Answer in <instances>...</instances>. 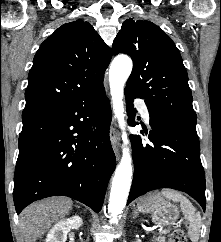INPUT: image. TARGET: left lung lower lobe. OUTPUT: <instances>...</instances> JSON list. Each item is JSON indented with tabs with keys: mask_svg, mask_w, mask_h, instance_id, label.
<instances>
[{
	"mask_svg": "<svg viewBox=\"0 0 221 242\" xmlns=\"http://www.w3.org/2000/svg\"><path fill=\"white\" fill-rule=\"evenodd\" d=\"M125 97L128 121L135 126L133 99L137 96L125 90ZM149 114L152 130L148 138L153 145L139 136L130 137L135 171L127 205L148 191L172 188L189 194L205 211V174L196 124Z\"/></svg>",
	"mask_w": 221,
	"mask_h": 242,
	"instance_id": "obj_1",
	"label": "left lung lower lobe"
}]
</instances>
